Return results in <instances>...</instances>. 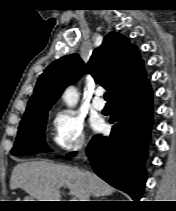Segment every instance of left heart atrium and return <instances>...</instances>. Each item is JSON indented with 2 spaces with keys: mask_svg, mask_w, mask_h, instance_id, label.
<instances>
[{
  "mask_svg": "<svg viewBox=\"0 0 176 211\" xmlns=\"http://www.w3.org/2000/svg\"><path fill=\"white\" fill-rule=\"evenodd\" d=\"M93 127L96 129V130H102L103 127H104V124L102 123V121L98 120V119H95L93 121Z\"/></svg>",
  "mask_w": 176,
  "mask_h": 211,
  "instance_id": "obj_1",
  "label": "left heart atrium"
}]
</instances>
